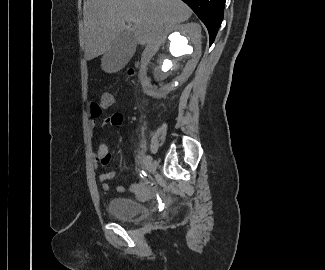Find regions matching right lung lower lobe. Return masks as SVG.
Wrapping results in <instances>:
<instances>
[{
    "label": "right lung lower lobe",
    "mask_w": 325,
    "mask_h": 270,
    "mask_svg": "<svg viewBox=\"0 0 325 270\" xmlns=\"http://www.w3.org/2000/svg\"><path fill=\"white\" fill-rule=\"evenodd\" d=\"M205 24L209 32L210 45L214 42L223 20L225 0H182Z\"/></svg>",
    "instance_id": "right-lung-lower-lobe-1"
}]
</instances>
